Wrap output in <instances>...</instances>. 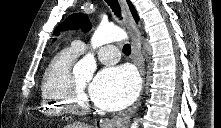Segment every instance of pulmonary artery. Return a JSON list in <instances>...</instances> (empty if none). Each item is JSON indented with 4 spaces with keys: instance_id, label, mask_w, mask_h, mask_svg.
I'll use <instances>...</instances> for the list:
<instances>
[{
    "instance_id": "e3ab8cb5",
    "label": "pulmonary artery",
    "mask_w": 221,
    "mask_h": 128,
    "mask_svg": "<svg viewBox=\"0 0 221 128\" xmlns=\"http://www.w3.org/2000/svg\"><path fill=\"white\" fill-rule=\"evenodd\" d=\"M111 42V41H110ZM72 45L80 52L83 53L87 46L81 40H75ZM98 59L104 64L115 63L120 58L119 49L113 44L102 46L97 52Z\"/></svg>"
}]
</instances>
